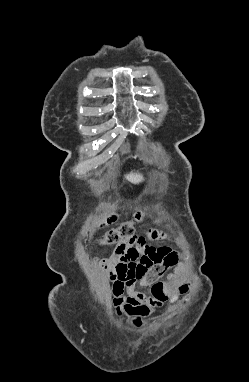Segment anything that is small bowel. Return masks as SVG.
Segmentation results:
<instances>
[{
  "label": "small bowel",
  "mask_w": 249,
  "mask_h": 382,
  "mask_svg": "<svg viewBox=\"0 0 249 382\" xmlns=\"http://www.w3.org/2000/svg\"><path fill=\"white\" fill-rule=\"evenodd\" d=\"M167 238V234L163 231L150 229L145 235L136 236L135 241L118 242L112 254L100 260V267L112 284L113 303L117 314L120 317H135L132 323L136 326L141 324L140 317L149 314V305L161 306L168 300L170 294L161 302L160 298H149L142 293L133 292L132 288L136 277L130 276V269L132 266H138L140 259L143 258L144 250L141 248H155V241ZM137 239H142V241H136ZM167 249L169 248H162L163 251ZM154 282H139V286L145 287ZM179 287L180 291L186 290L183 285ZM125 290L129 292L128 295H124Z\"/></svg>",
  "instance_id": "1"
}]
</instances>
